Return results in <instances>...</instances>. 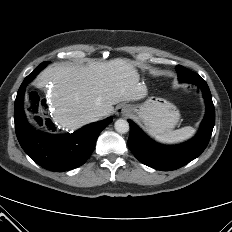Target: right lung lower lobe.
<instances>
[{"instance_id":"right-lung-lower-lobe-1","label":"right lung lower lobe","mask_w":232,"mask_h":232,"mask_svg":"<svg viewBox=\"0 0 232 232\" xmlns=\"http://www.w3.org/2000/svg\"><path fill=\"white\" fill-rule=\"evenodd\" d=\"M36 68L21 84L15 100L14 120L23 150L45 169L63 172L84 164L94 150L100 132L113 120L109 117L65 135H48L33 129L26 120L23 99L26 85L41 71Z\"/></svg>"}]
</instances>
